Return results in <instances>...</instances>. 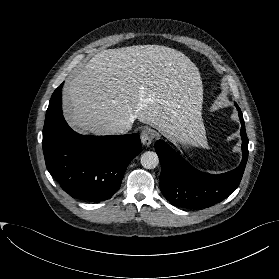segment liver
<instances>
[{
    "mask_svg": "<svg viewBox=\"0 0 279 279\" xmlns=\"http://www.w3.org/2000/svg\"><path fill=\"white\" fill-rule=\"evenodd\" d=\"M202 102L196 65L160 45L103 50L63 88L66 118L83 133L119 134L138 119L168 138L207 148Z\"/></svg>",
    "mask_w": 279,
    "mask_h": 279,
    "instance_id": "obj_1",
    "label": "liver"
}]
</instances>
